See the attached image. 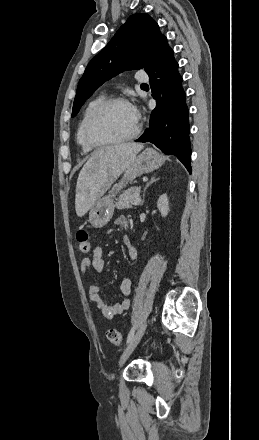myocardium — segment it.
I'll return each mask as SVG.
<instances>
[{"label": "myocardium", "instance_id": "obj_1", "mask_svg": "<svg viewBox=\"0 0 259 440\" xmlns=\"http://www.w3.org/2000/svg\"><path fill=\"white\" fill-rule=\"evenodd\" d=\"M116 104L130 105L129 101L125 98H122V97L109 98V99H105L103 102L98 104L91 111V113L88 115V117L85 121L84 127H83V136H84L85 142L89 146H91L93 148H102V147H107V146H112V145H118V144H122V143H125L128 141H131L140 134L141 124H140L139 120H137V124H136V127L133 130V132L125 137H122L119 139H114V140H98V139L94 138V136L92 135V127H93L94 123L97 121V119L104 112H106L109 108H111L112 106H114Z\"/></svg>", "mask_w": 259, "mask_h": 440}]
</instances>
